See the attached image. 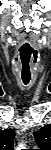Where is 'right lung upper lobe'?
I'll list each match as a JSON object with an SVG mask.
<instances>
[{"label": "right lung upper lobe", "mask_w": 51, "mask_h": 150, "mask_svg": "<svg viewBox=\"0 0 51 150\" xmlns=\"http://www.w3.org/2000/svg\"><path fill=\"white\" fill-rule=\"evenodd\" d=\"M14 129L0 130V150H13Z\"/></svg>", "instance_id": "cb5924a9"}]
</instances>
